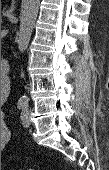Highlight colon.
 <instances>
[{
  "label": "colon",
  "instance_id": "obj_1",
  "mask_svg": "<svg viewBox=\"0 0 109 170\" xmlns=\"http://www.w3.org/2000/svg\"><path fill=\"white\" fill-rule=\"evenodd\" d=\"M18 170H34V169H23V168H19Z\"/></svg>",
  "mask_w": 109,
  "mask_h": 170
}]
</instances>
